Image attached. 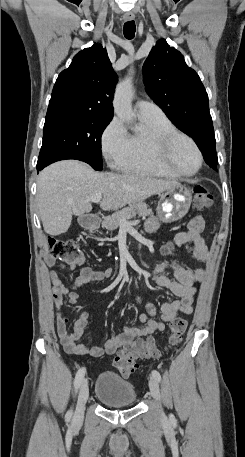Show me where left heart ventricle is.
Returning <instances> with one entry per match:
<instances>
[{
	"instance_id": "left-heart-ventricle-1",
	"label": "left heart ventricle",
	"mask_w": 245,
	"mask_h": 457,
	"mask_svg": "<svg viewBox=\"0 0 245 457\" xmlns=\"http://www.w3.org/2000/svg\"><path fill=\"white\" fill-rule=\"evenodd\" d=\"M160 159L173 168L191 172L197 166V157L184 138H178L174 144L158 153Z\"/></svg>"
}]
</instances>
